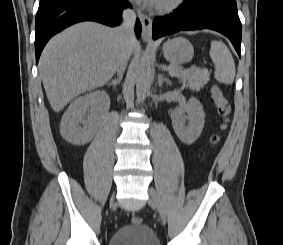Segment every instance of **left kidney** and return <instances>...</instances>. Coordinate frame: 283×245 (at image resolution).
I'll return each instance as SVG.
<instances>
[{"mask_svg": "<svg viewBox=\"0 0 283 245\" xmlns=\"http://www.w3.org/2000/svg\"><path fill=\"white\" fill-rule=\"evenodd\" d=\"M173 129L178 138L187 145L194 143L200 136L204 123L205 113L202 104L194 97L182 103L171 113ZM188 121V125L185 122Z\"/></svg>", "mask_w": 283, "mask_h": 245, "instance_id": "obj_1", "label": "left kidney"}]
</instances>
